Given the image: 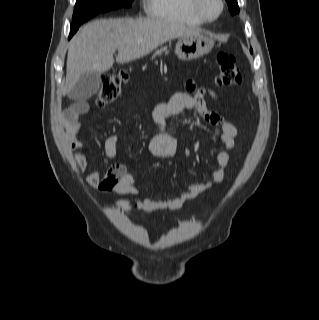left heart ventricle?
<instances>
[{
  "mask_svg": "<svg viewBox=\"0 0 319 320\" xmlns=\"http://www.w3.org/2000/svg\"><path fill=\"white\" fill-rule=\"evenodd\" d=\"M203 9L210 17L216 15L219 10L218 0H203Z\"/></svg>",
  "mask_w": 319,
  "mask_h": 320,
  "instance_id": "1",
  "label": "left heart ventricle"
}]
</instances>
